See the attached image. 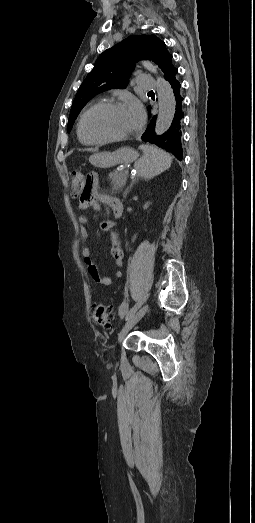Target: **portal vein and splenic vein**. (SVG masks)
Returning <instances> with one entry per match:
<instances>
[{
    "mask_svg": "<svg viewBox=\"0 0 255 523\" xmlns=\"http://www.w3.org/2000/svg\"><path fill=\"white\" fill-rule=\"evenodd\" d=\"M123 172H124L125 174H129L130 169H129L128 167H125V168L123 169Z\"/></svg>",
    "mask_w": 255,
    "mask_h": 523,
    "instance_id": "1",
    "label": "portal vein and splenic vein"
}]
</instances>
